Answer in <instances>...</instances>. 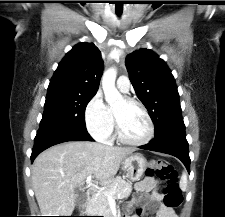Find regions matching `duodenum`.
Returning a JSON list of instances; mask_svg holds the SVG:
<instances>
[{
  "mask_svg": "<svg viewBox=\"0 0 225 217\" xmlns=\"http://www.w3.org/2000/svg\"><path fill=\"white\" fill-rule=\"evenodd\" d=\"M93 198V192L92 191H88L87 192V199L90 201Z\"/></svg>",
  "mask_w": 225,
  "mask_h": 217,
  "instance_id": "410a0bca",
  "label": "duodenum"
}]
</instances>
